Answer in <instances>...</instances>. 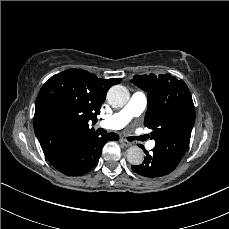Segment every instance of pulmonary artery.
I'll return each instance as SVG.
<instances>
[{
    "instance_id": "e3ab8cb5",
    "label": "pulmonary artery",
    "mask_w": 229,
    "mask_h": 229,
    "mask_svg": "<svg viewBox=\"0 0 229 229\" xmlns=\"http://www.w3.org/2000/svg\"><path fill=\"white\" fill-rule=\"evenodd\" d=\"M147 106V98L143 92H135L127 101L125 106L114 113L109 119L99 121L98 125L110 130H119L129 123L133 118L140 116ZM154 142H149L147 148L151 150Z\"/></svg>"
}]
</instances>
